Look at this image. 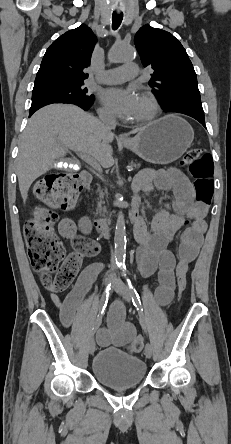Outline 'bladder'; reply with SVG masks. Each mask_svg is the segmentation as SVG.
Returning <instances> with one entry per match:
<instances>
[{
	"label": "bladder",
	"mask_w": 231,
	"mask_h": 444,
	"mask_svg": "<svg viewBox=\"0 0 231 444\" xmlns=\"http://www.w3.org/2000/svg\"><path fill=\"white\" fill-rule=\"evenodd\" d=\"M93 377L102 385L122 389L141 384L146 374V364L115 349H100L91 364Z\"/></svg>",
	"instance_id": "31cf9c89"
}]
</instances>
